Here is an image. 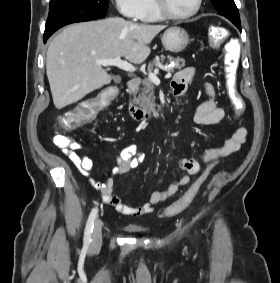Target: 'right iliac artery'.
<instances>
[{
	"label": "right iliac artery",
	"mask_w": 280,
	"mask_h": 283,
	"mask_svg": "<svg viewBox=\"0 0 280 283\" xmlns=\"http://www.w3.org/2000/svg\"><path fill=\"white\" fill-rule=\"evenodd\" d=\"M97 208H93L90 215H89V218H88V221L86 223V227H85V233H84V242L85 243H90L91 242V234L93 232V227H94V221H95V218L97 216Z\"/></svg>",
	"instance_id": "obj_1"
}]
</instances>
